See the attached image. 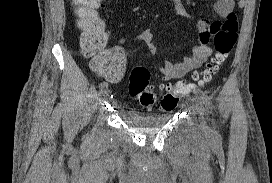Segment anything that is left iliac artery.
Segmentation results:
<instances>
[{"instance_id":"left-iliac-artery-1","label":"left iliac artery","mask_w":272,"mask_h":183,"mask_svg":"<svg viewBox=\"0 0 272 183\" xmlns=\"http://www.w3.org/2000/svg\"><path fill=\"white\" fill-rule=\"evenodd\" d=\"M194 93L196 94V96H197L199 99H201V100L203 101V103H204L208 108H211V100H210V98H209L206 94H204L203 92L198 91V90H195ZM213 133H214V135H215L216 138L219 137V134H218V132H217V130H216L215 127H213Z\"/></svg>"}]
</instances>
